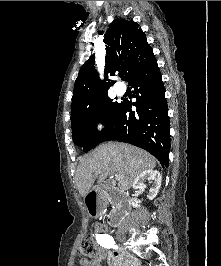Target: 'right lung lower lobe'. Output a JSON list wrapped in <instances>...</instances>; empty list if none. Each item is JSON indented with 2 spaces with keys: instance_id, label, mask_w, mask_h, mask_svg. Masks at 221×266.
Returning a JSON list of instances; mask_svg holds the SVG:
<instances>
[{
  "instance_id": "obj_1",
  "label": "right lung lower lobe",
  "mask_w": 221,
  "mask_h": 266,
  "mask_svg": "<svg viewBox=\"0 0 221 266\" xmlns=\"http://www.w3.org/2000/svg\"><path fill=\"white\" fill-rule=\"evenodd\" d=\"M129 83L136 102L123 100L113 126L99 143L125 142L154 155L164 167L169 165L170 128L165 88L156 59L133 73ZM136 106V112L131 110Z\"/></svg>"
}]
</instances>
